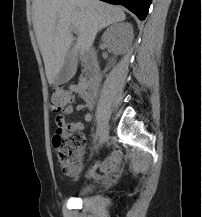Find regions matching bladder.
I'll use <instances>...</instances> for the list:
<instances>
[{
    "label": "bladder",
    "instance_id": "obj_1",
    "mask_svg": "<svg viewBox=\"0 0 202 217\" xmlns=\"http://www.w3.org/2000/svg\"><path fill=\"white\" fill-rule=\"evenodd\" d=\"M90 186H84L79 190V195L83 196L90 191Z\"/></svg>",
    "mask_w": 202,
    "mask_h": 217
}]
</instances>
